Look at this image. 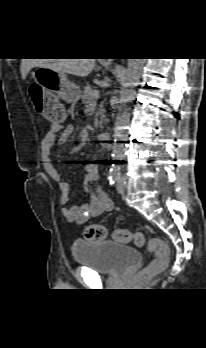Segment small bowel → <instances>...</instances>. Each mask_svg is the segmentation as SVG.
<instances>
[{
	"label": "small bowel",
	"instance_id": "1",
	"mask_svg": "<svg viewBox=\"0 0 206 348\" xmlns=\"http://www.w3.org/2000/svg\"><path fill=\"white\" fill-rule=\"evenodd\" d=\"M72 132V125L63 126L62 124H53L41 143V161L50 178L59 184V201L63 205V216L69 221L81 224L111 210L113 208V202L104 192L99 190L91 194L89 201L85 205L80 207L65 206L69 201L70 187L68 183L61 180L59 172L51 163L50 155L52 149L57 145L65 143ZM85 168L87 174L84 179V189L88 191L90 183L97 182L100 179V171L96 164H88Z\"/></svg>",
	"mask_w": 206,
	"mask_h": 348
}]
</instances>
